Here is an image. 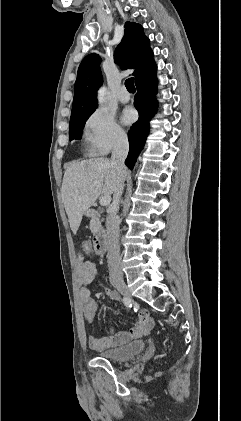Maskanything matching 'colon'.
I'll use <instances>...</instances> for the list:
<instances>
[{"instance_id": "obj_1", "label": "colon", "mask_w": 241, "mask_h": 421, "mask_svg": "<svg viewBox=\"0 0 241 421\" xmlns=\"http://www.w3.org/2000/svg\"><path fill=\"white\" fill-rule=\"evenodd\" d=\"M93 250H94V246L90 241L82 242V244H81V257H83V255H89Z\"/></svg>"}]
</instances>
